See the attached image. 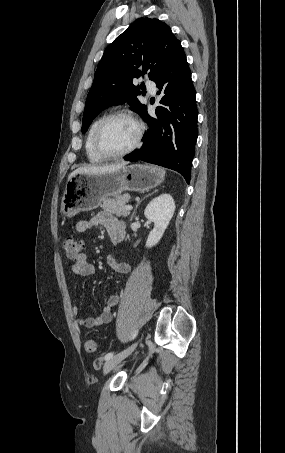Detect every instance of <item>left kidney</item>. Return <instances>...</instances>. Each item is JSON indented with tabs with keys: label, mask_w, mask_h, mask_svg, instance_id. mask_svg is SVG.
Listing matches in <instances>:
<instances>
[{
	"label": "left kidney",
	"mask_w": 285,
	"mask_h": 453,
	"mask_svg": "<svg viewBox=\"0 0 285 453\" xmlns=\"http://www.w3.org/2000/svg\"><path fill=\"white\" fill-rule=\"evenodd\" d=\"M175 211V202L170 194H161L154 198L144 211L145 217L154 222V228L149 233L146 247L155 246L162 238Z\"/></svg>",
	"instance_id": "obj_1"
}]
</instances>
